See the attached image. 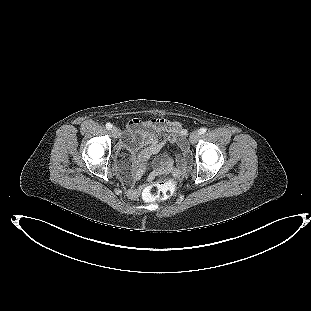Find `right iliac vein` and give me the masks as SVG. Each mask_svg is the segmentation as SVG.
I'll use <instances>...</instances> for the list:
<instances>
[{"label": "right iliac vein", "mask_w": 311, "mask_h": 311, "mask_svg": "<svg viewBox=\"0 0 311 311\" xmlns=\"http://www.w3.org/2000/svg\"><path fill=\"white\" fill-rule=\"evenodd\" d=\"M111 135L113 136V138L117 139L120 135L119 129L117 127H112Z\"/></svg>", "instance_id": "63e3f726"}]
</instances>
